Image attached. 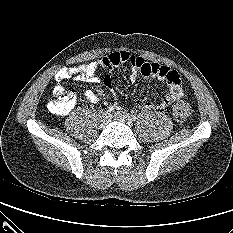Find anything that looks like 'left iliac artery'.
<instances>
[{"label":"left iliac artery","mask_w":233,"mask_h":233,"mask_svg":"<svg viewBox=\"0 0 233 233\" xmlns=\"http://www.w3.org/2000/svg\"><path fill=\"white\" fill-rule=\"evenodd\" d=\"M130 119H131L132 121H135V120H136V116H135V115H131Z\"/></svg>","instance_id":"left-iliac-artery-1"}]
</instances>
